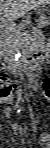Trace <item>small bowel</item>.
Segmentation results:
<instances>
[{
  "label": "small bowel",
  "mask_w": 50,
  "mask_h": 148,
  "mask_svg": "<svg viewBox=\"0 0 50 148\" xmlns=\"http://www.w3.org/2000/svg\"><path fill=\"white\" fill-rule=\"evenodd\" d=\"M5 112H6V114L8 115L9 112H10V109H9V108H6ZM49 141H50L49 136L44 135V136L41 137V143H42L43 146L46 147V148H49V147H50Z\"/></svg>",
  "instance_id": "1"
}]
</instances>
